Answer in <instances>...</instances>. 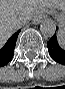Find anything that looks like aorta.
Segmentation results:
<instances>
[{"label": "aorta", "instance_id": "762f6f07", "mask_svg": "<svg viewBox=\"0 0 65 89\" xmlns=\"http://www.w3.org/2000/svg\"><path fill=\"white\" fill-rule=\"evenodd\" d=\"M40 32L44 37L50 38L56 32V24L52 19L46 18L40 24Z\"/></svg>", "mask_w": 65, "mask_h": 89}]
</instances>
